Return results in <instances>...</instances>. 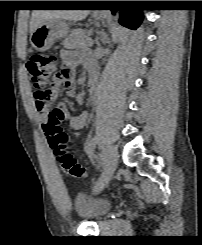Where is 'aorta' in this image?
Masks as SVG:
<instances>
[{
  "instance_id": "762f6f07",
  "label": "aorta",
  "mask_w": 202,
  "mask_h": 245,
  "mask_svg": "<svg viewBox=\"0 0 202 245\" xmlns=\"http://www.w3.org/2000/svg\"><path fill=\"white\" fill-rule=\"evenodd\" d=\"M118 17H119V13L117 12V13H116V17H115V18H116V19H118Z\"/></svg>"
}]
</instances>
